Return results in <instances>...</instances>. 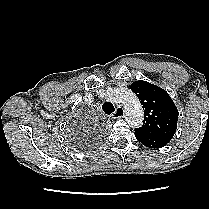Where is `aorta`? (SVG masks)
Masks as SVG:
<instances>
[{
	"label": "aorta",
	"mask_w": 209,
	"mask_h": 209,
	"mask_svg": "<svg viewBox=\"0 0 209 209\" xmlns=\"http://www.w3.org/2000/svg\"><path fill=\"white\" fill-rule=\"evenodd\" d=\"M109 98L122 104L126 111V121L134 128L139 127L144 119V112L137 96L127 88H116L109 92Z\"/></svg>",
	"instance_id": "762f6f07"
}]
</instances>
